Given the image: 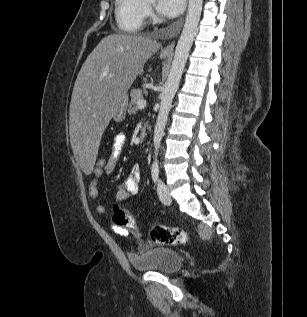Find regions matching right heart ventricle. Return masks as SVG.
<instances>
[{"instance_id": "1", "label": "right heart ventricle", "mask_w": 307, "mask_h": 317, "mask_svg": "<svg viewBox=\"0 0 307 317\" xmlns=\"http://www.w3.org/2000/svg\"><path fill=\"white\" fill-rule=\"evenodd\" d=\"M144 0H115V18L118 27L128 33L139 32L145 21Z\"/></svg>"}]
</instances>
